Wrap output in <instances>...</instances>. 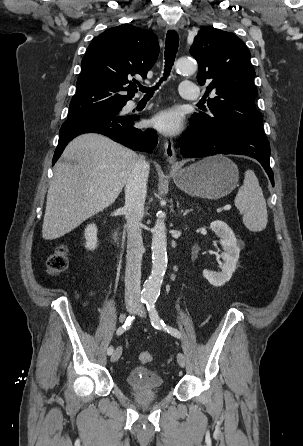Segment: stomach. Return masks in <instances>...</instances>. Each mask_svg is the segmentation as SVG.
I'll return each instance as SVG.
<instances>
[{"mask_svg":"<svg viewBox=\"0 0 303 446\" xmlns=\"http://www.w3.org/2000/svg\"><path fill=\"white\" fill-rule=\"evenodd\" d=\"M176 186L190 195L219 199L237 186L239 169L222 155L204 158L183 169H174Z\"/></svg>","mask_w":303,"mask_h":446,"instance_id":"stomach-1","label":"stomach"}]
</instances>
